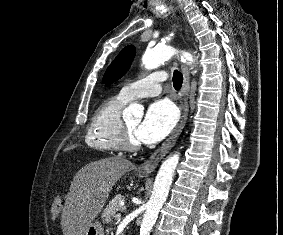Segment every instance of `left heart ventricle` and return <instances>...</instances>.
Returning a JSON list of instances; mask_svg holds the SVG:
<instances>
[{
  "label": "left heart ventricle",
  "instance_id": "b2bd125f",
  "mask_svg": "<svg viewBox=\"0 0 283 235\" xmlns=\"http://www.w3.org/2000/svg\"><path fill=\"white\" fill-rule=\"evenodd\" d=\"M128 130L130 131L131 135L133 136L134 139L137 140L136 135H135V131L137 129V127L140 124V121H127L125 122Z\"/></svg>",
  "mask_w": 283,
  "mask_h": 235
}]
</instances>
